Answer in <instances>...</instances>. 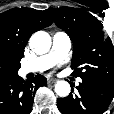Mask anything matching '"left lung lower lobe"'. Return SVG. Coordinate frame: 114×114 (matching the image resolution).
<instances>
[{"label":"left lung lower lobe","instance_id":"0a47b994","mask_svg":"<svg viewBox=\"0 0 114 114\" xmlns=\"http://www.w3.org/2000/svg\"><path fill=\"white\" fill-rule=\"evenodd\" d=\"M77 94L57 99L62 114H103L114 97V85L95 79H82Z\"/></svg>","mask_w":114,"mask_h":114}]
</instances>
